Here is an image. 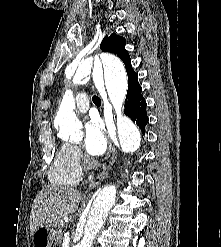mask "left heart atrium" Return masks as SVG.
<instances>
[{"label":"left heart atrium","mask_w":221,"mask_h":247,"mask_svg":"<svg viewBox=\"0 0 221 247\" xmlns=\"http://www.w3.org/2000/svg\"><path fill=\"white\" fill-rule=\"evenodd\" d=\"M107 136L97 119L85 124L84 145L88 153L94 156L103 154L107 147Z\"/></svg>","instance_id":"left-heart-atrium-1"}]
</instances>
